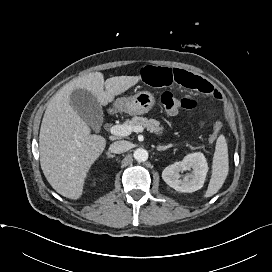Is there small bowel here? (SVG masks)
I'll return each mask as SVG.
<instances>
[{
    "instance_id": "small-bowel-1",
    "label": "small bowel",
    "mask_w": 272,
    "mask_h": 272,
    "mask_svg": "<svg viewBox=\"0 0 272 272\" xmlns=\"http://www.w3.org/2000/svg\"><path fill=\"white\" fill-rule=\"evenodd\" d=\"M141 80L152 87L179 86L217 97V90L207 80L178 68L146 66L140 71ZM203 124V123H202Z\"/></svg>"
}]
</instances>
